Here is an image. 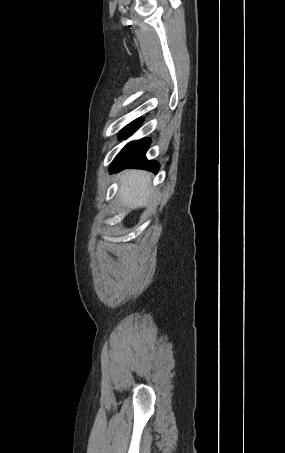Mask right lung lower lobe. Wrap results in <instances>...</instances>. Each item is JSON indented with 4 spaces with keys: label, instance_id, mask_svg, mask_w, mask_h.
Wrapping results in <instances>:
<instances>
[{
    "label": "right lung lower lobe",
    "instance_id": "98d812e1",
    "mask_svg": "<svg viewBox=\"0 0 285 453\" xmlns=\"http://www.w3.org/2000/svg\"><path fill=\"white\" fill-rule=\"evenodd\" d=\"M142 121L143 120L139 118L128 124L120 132V139L127 138L133 134L139 128ZM149 145V138H143L128 143L111 163L110 173H116L126 168L145 169L157 173L159 170V163L153 160H147L145 157Z\"/></svg>",
    "mask_w": 285,
    "mask_h": 453
}]
</instances>
